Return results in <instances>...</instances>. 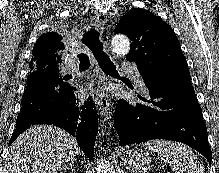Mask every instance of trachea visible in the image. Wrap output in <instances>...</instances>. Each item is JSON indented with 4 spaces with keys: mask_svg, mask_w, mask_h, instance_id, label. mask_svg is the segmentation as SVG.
<instances>
[{
    "mask_svg": "<svg viewBox=\"0 0 219 173\" xmlns=\"http://www.w3.org/2000/svg\"><path fill=\"white\" fill-rule=\"evenodd\" d=\"M82 42L90 49L94 58L98 61L101 69L111 75H117L118 72L110 60L109 56L103 50V43L100 38V32L95 29V26H91L83 34ZM81 69H87L90 66V58L86 54L78 55Z\"/></svg>",
    "mask_w": 219,
    "mask_h": 173,
    "instance_id": "obj_1",
    "label": "trachea"
}]
</instances>
